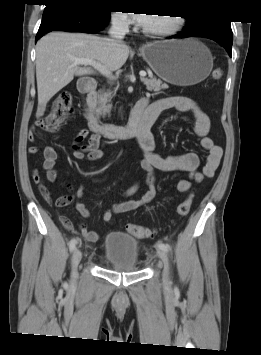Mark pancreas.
I'll return each mask as SVG.
<instances>
[{"label": "pancreas", "instance_id": "obj_1", "mask_svg": "<svg viewBox=\"0 0 261 355\" xmlns=\"http://www.w3.org/2000/svg\"><path fill=\"white\" fill-rule=\"evenodd\" d=\"M143 82L146 85L147 90L150 92L160 93L162 89L168 88L167 84L162 83L161 80L156 78L144 79ZM112 97L113 94L110 91H100L95 96L93 106L98 114L105 116L106 113L110 112L112 108V104H110Z\"/></svg>", "mask_w": 261, "mask_h": 355}]
</instances>
